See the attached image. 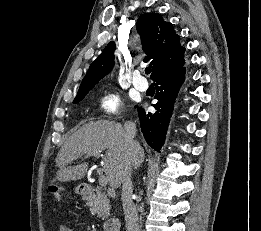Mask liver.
Masks as SVG:
<instances>
[{
	"mask_svg": "<svg viewBox=\"0 0 261 231\" xmlns=\"http://www.w3.org/2000/svg\"><path fill=\"white\" fill-rule=\"evenodd\" d=\"M107 150L103 158V171L112 188H118L122 183V176L127 168H137L144 160L142 157L133 162L129 147L124 139V127L106 120L91 121L74 132L64 142L57 158V179L61 182L82 179L88 170V164L68 166L84 154Z\"/></svg>",
	"mask_w": 261,
	"mask_h": 231,
	"instance_id": "6515ba94",
	"label": "liver"
}]
</instances>
